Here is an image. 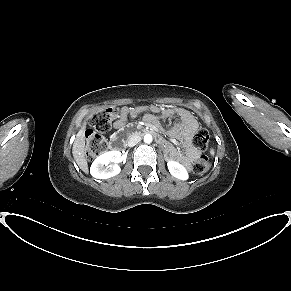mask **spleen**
<instances>
[{
  "instance_id": "3e777b00",
  "label": "spleen",
  "mask_w": 291,
  "mask_h": 291,
  "mask_svg": "<svg viewBox=\"0 0 291 291\" xmlns=\"http://www.w3.org/2000/svg\"><path fill=\"white\" fill-rule=\"evenodd\" d=\"M211 154H212V155L214 154V151H213V150H211Z\"/></svg>"
}]
</instances>
